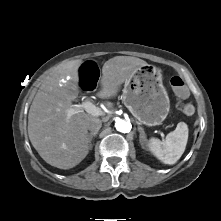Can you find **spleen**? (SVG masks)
Listing matches in <instances>:
<instances>
[{
	"label": "spleen",
	"mask_w": 221,
	"mask_h": 221,
	"mask_svg": "<svg viewBox=\"0 0 221 221\" xmlns=\"http://www.w3.org/2000/svg\"><path fill=\"white\" fill-rule=\"evenodd\" d=\"M188 141V126L184 122L177 124L174 131L167 134L164 141L151 138L149 150L164 164H175L185 151Z\"/></svg>",
	"instance_id": "1"
}]
</instances>
